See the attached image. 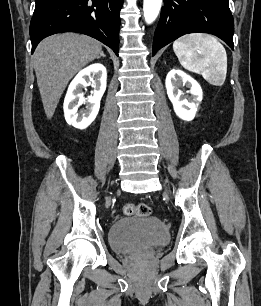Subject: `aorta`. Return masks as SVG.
<instances>
[{
    "instance_id": "aorta-1",
    "label": "aorta",
    "mask_w": 261,
    "mask_h": 306,
    "mask_svg": "<svg viewBox=\"0 0 261 306\" xmlns=\"http://www.w3.org/2000/svg\"><path fill=\"white\" fill-rule=\"evenodd\" d=\"M162 0H144L143 12L146 23L151 24L157 18Z\"/></svg>"
}]
</instances>
